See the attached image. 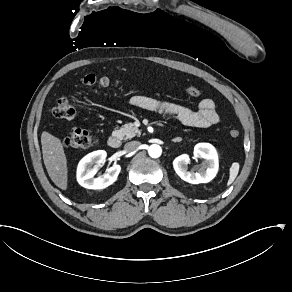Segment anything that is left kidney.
Masks as SVG:
<instances>
[{"label": "left kidney", "mask_w": 292, "mask_h": 292, "mask_svg": "<svg viewBox=\"0 0 292 292\" xmlns=\"http://www.w3.org/2000/svg\"><path fill=\"white\" fill-rule=\"evenodd\" d=\"M191 156L182 154L173 161V168L178 176L191 184L208 183L216 177L218 171L217 153L212 145L197 144L193 151V158L202 160V167L198 173L189 171L187 164L190 163Z\"/></svg>", "instance_id": "1"}]
</instances>
